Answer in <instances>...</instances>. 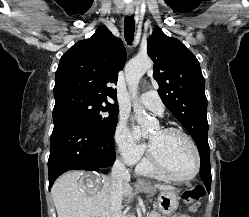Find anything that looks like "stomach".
Segmentation results:
<instances>
[{"label":"stomach","instance_id":"0dacf381","mask_svg":"<svg viewBox=\"0 0 249 217\" xmlns=\"http://www.w3.org/2000/svg\"><path fill=\"white\" fill-rule=\"evenodd\" d=\"M145 192L154 193L156 190L151 186H142ZM179 205V197L173 190H162L158 196V209L165 215L173 214Z\"/></svg>","mask_w":249,"mask_h":217}]
</instances>
